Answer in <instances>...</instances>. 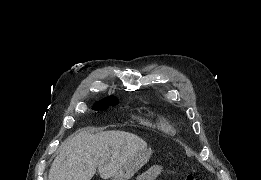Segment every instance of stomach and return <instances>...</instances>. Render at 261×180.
<instances>
[{"mask_svg": "<svg viewBox=\"0 0 261 180\" xmlns=\"http://www.w3.org/2000/svg\"><path fill=\"white\" fill-rule=\"evenodd\" d=\"M152 151L144 149L132 155L110 180H129L150 159Z\"/></svg>", "mask_w": 261, "mask_h": 180, "instance_id": "obj_1", "label": "stomach"}]
</instances>
